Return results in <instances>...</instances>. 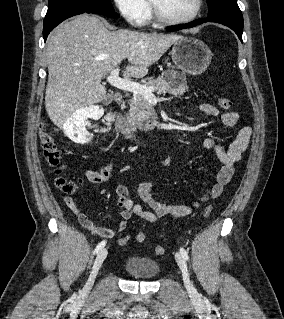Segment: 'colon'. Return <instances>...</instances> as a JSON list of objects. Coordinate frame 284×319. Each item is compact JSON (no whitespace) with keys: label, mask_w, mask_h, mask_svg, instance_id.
Here are the masks:
<instances>
[{"label":"colon","mask_w":284,"mask_h":319,"mask_svg":"<svg viewBox=\"0 0 284 319\" xmlns=\"http://www.w3.org/2000/svg\"><path fill=\"white\" fill-rule=\"evenodd\" d=\"M218 104L221 108L225 110L230 109L232 106V102L228 98H224V97H221L218 99ZM39 138H40V145H41L45 160L50 166L56 167L60 162L61 154L57 148L54 138L49 132H47L44 129H41ZM59 172L60 170L56 171V173H59ZM56 184L60 188H62L64 191H67V192L71 191V186L67 183V181L64 178H61V177L57 178ZM212 211H213V207L211 205H208L204 209L203 216L205 218L209 217ZM145 238L146 236L142 232L136 235V240L140 243L144 242ZM128 242H129L128 237L120 238L118 241L119 245L121 246L127 245ZM155 252L158 255H162L165 252V248L161 245H157L155 247Z\"/></svg>","instance_id":"obj_1"}]
</instances>
